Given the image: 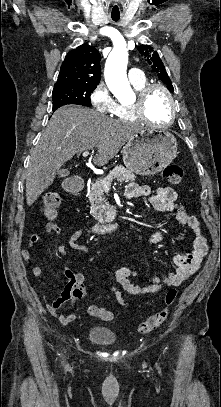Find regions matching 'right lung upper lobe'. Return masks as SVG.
I'll use <instances>...</instances> for the list:
<instances>
[{
	"label": "right lung upper lobe",
	"mask_w": 221,
	"mask_h": 407,
	"mask_svg": "<svg viewBox=\"0 0 221 407\" xmlns=\"http://www.w3.org/2000/svg\"><path fill=\"white\" fill-rule=\"evenodd\" d=\"M100 77V53L96 48L83 44L66 55L54 88L71 84L97 86Z\"/></svg>",
	"instance_id": "1"
}]
</instances>
